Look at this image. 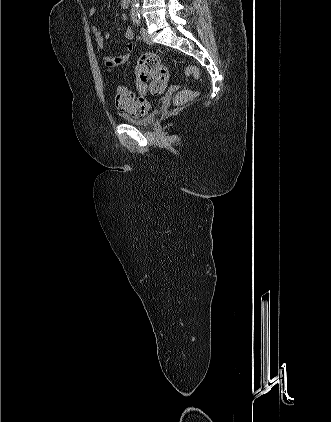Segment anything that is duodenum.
<instances>
[{
    "label": "duodenum",
    "mask_w": 331,
    "mask_h": 422,
    "mask_svg": "<svg viewBox=\"0 0 331 422\" xmlns=\"http://www.w3.org/2000/svg\"><path fill=\"white\" fill-rule=\"evenodd\" d=\"M122 5L124 8H127L129 6L130 0H121Z\"/></svg>",
    "instance_id": "duodenum-1"
}]
</instances>
